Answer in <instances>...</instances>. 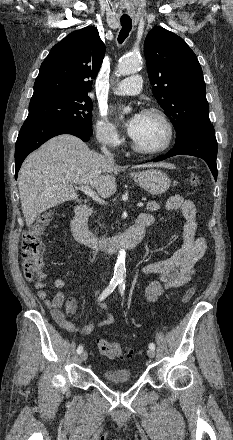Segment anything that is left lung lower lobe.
Segmentation results:
<instances>
[{
	"label": "left lung lower lobe",
	"instance_id": "obj_1",
	"mask_svg": "<svg viewBox=\"0 0 233 440\" xmlns=\"http://www.w3.org/2000/svg\"><path fill=\"white\" fill-rule=\"evenodd\" d=\"M175 155H191L202 158L208 164L215 180L217 179V141L213 125L199 126L183 139L176 141L174 148L166 155L157 157L161 161Z\"/></svg>",
	"mask_w": 233,
	"mask_h": 440
}]
</instances>
